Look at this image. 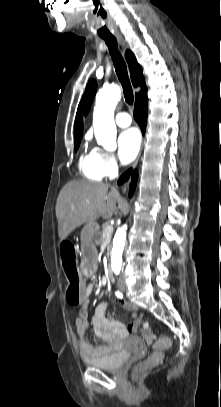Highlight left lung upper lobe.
I'll return each mask as SVG.
<instances>
[{
    "label": "left lung upper lobe",
    "mask_w": 221,
    "mask_h": 407,
    "mask_svg": "<svg viewBox=\"0 0 221 407\" xmlns=\"http://www.w3.org/2000/svg\"><path fill=\"white\" fill-rule=\"evenodd\" d=\"M96 90H97L96 81L95 80L89 81L82 99L85 114H87L88 111L90 110Z\"/></svg>",
    "instance_id": "5c2ea615"
}]
</instances>
